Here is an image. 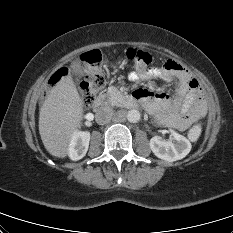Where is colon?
I'll list each match as a JSON object with an SVG mask.
<instances>
[{"label": "colon", "instance_id": "5ec220e1", "mask_svg": "<svg viewBox=\"0 0 233 233\" xmlns=\"http://www.w3.org/2000/svg\"><path fill=\"white\" fill-rule=\"evenodd\" d=\"M127 59L138 69H147L155 62V59L148 52L140 49L130 48L126 52ZM82 61L85 62L90 73L80 82V92L83 104L90 107L96 98V95L103 89L105 78L101 72V55L98 51L92 50L82 55ZM67 68H60L50 78L49 88L54 87L64 77L68 75ZM202 128L200 124H195L188 132L191 141H197L201 135Z\"/></svg>", "mask_w": 233, "mask_h": 233}]
</instances>
